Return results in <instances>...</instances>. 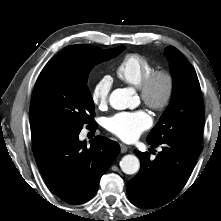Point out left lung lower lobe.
<instances>
[{
    "label": "left lung lower lobe",
    "instance_id": "1",
    "mask_svg": "<svg viewBox=\"0 0 221 221\" xmlns=\"http://www.w3.org/2000/svg\"><path fill=\"white\" fill-rule=\"evenodd\" d=\"M161 145L163 150L153 161L147 152L134 151L141 168L127 183V193L130 202L140 208H158L174 199L185 186L201 152V145L182 140Z\"/></svg>",
    "mask_w": 221,
    "mask_h": 221
}]
</instances>
